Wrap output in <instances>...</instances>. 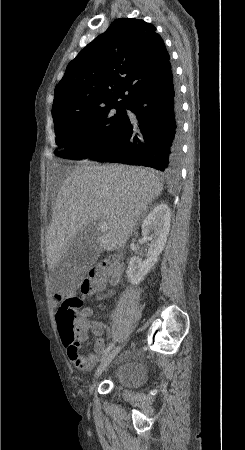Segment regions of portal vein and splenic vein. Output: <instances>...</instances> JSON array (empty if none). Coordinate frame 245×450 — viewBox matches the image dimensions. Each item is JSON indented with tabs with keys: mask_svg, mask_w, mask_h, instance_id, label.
<instances>
[{
	"mask_svg": "<svg viewBox=\"0 0 245 450\" xmlns=\"http://www.w3.org/2000/svg\"><path fill=\"white\" fill-rule=\"evenodd\" d=\"M108 228H109V226H108L107 222H105V221L99 222L98 230H100L101 232H105L108 230Z\"/></svg>",
	"mask_w": 245,
	"mask_h": 450,
	"instance_id": "portal-vein-and-splenic-vein-1",
	"label": "portal vein and splenic vein"
}]
</instances>
